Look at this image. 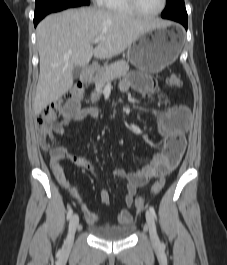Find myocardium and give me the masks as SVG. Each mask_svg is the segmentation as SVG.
Returning <instances> with one entry per match:
<instances>
[{
  "label": "myocardium",
  "mask_w": 227,
  "mask_h": 265,
  "mask_svg": "<svg viewBox=\"0 0 227 265\" xmlns=\"http://www.w3.org/2000/svg\"><path fill=\"white\" fill-rule=\"evenodd\" d=\"M128 3H129V5L131 6V8L136 12V14H138V15H140V16H144V17H154V16H157V15H159L160 13L163 12V10H164L165 7H166L167 0H162L161 7H160L156 12H153V13H145V12H143V11L139 8L138 3H137V0H128Z\"/></svg>",
  "instance_id": "f54148a6"
}]
</instances>
